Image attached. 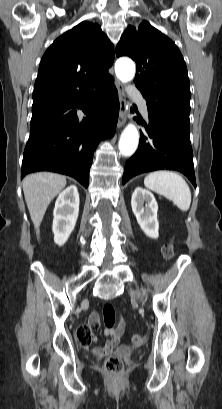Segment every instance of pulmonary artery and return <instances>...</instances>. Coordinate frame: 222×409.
Instances as JSON below:
<instances>
[{
	"label": "pulmonary artery",
	"mask_w": 222,
	"mask_h": 409,
	"mask_svg": "<svg viewBox=\"0 0 222 409\" xmlns=\"http://www.w3.org/2000/svg\"><path fill=\"white\" fill-rule=\"evenodd\" d=\"M127 92L136 98L142 112L144 113L145 116H147V103L146 100L141 95V93L139 92V90L134 87H129Z\"/></svg>",
	"instance_id": "pulmonary-artery-1"
}]
</instances>
